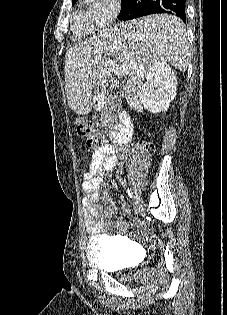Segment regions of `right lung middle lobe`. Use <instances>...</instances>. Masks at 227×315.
<instances>
[{
  "instance_id": "dd1d6c3e",
  "label": "right lung middle lobe",
  "mask_w": 227,
  "mask_h": 315,
  "mask_svg": "<svg viewBox=\"0 0 227 315\" xmlns=\"http://www.w3.org/2000/svg\"><path fill=\"white\" fill-rule=\"evenodd\" d=\"M77 0L72 1V5H74L76 3ZM130 1V0H129Z\"/></svg>"
}]
</instances>
